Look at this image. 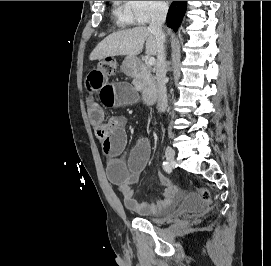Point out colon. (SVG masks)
<instances>
[{
  "label": "colon",
  "mask_w": 271,
  "mask_h": 266,
  "mask_svg": "<svg viewBox=\"0 0 271 266\" xmlns=\"http://www.w3.org/2000/svg\"><path fill=\"white\" fill-rule=\"evenodd\" d=\"M97 68L102 70L105 74L111 76V75L115 74L117 71V63L112 58H106V59L100 60L98 62ZM200 193L208 204L212 203V198H211L210 193L207 189L201 188Z\"/></svg>",
  "instance_id": "colon-1"
}]
</instances>
